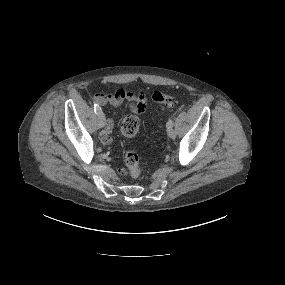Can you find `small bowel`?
Masks as SVG:
<instances>
[{
	"mask_svg": "<svg viewBox=\"0 0 285 285\" xmlns=\"http://www.w3.org/2000/svg\"><path fill=\"white\" fill-rule=\"evenodd\" d=\"M94 101L100 106L110 105L118 107L123 103H127L129 108L136 114H142L147 105V98L145 93L140 92L135 94L126 89H119L114 93H97L94 96ZM113 129V121L107 119L106 128L101 133V140L103 143L108 144L111 142L110 133ZM120 175H126V170L122 167L117 169Z\"/></svg>",
	"mask_w": 285,
	"mask_h": 285,
	"instance_id": "c3829d8e",
	"label": "small bowel"
}]
</instances>
